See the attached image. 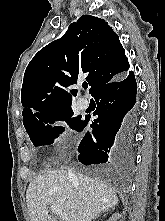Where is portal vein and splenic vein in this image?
<instances>
[{
  "instance_id": "portal-vein-and-splenic-vein-1",
  "label": "portal vein and splenic vein",
  "mask_w": 165,
  "mask_h": 221,
  "mask_svg": "<svg viewBox=\"0 0 165 221\" xmlns=\"http://www.w3.org/2000/svg\"><path fill=\"white\" fill-rule=\"evenodd\" d=\"M50 209H51V212L57 216H59V218L63 219V220H68V216L67 214L63 213L62 209L55 205V204H51L50 205Z\"/></svg>"
}]
</instances>
